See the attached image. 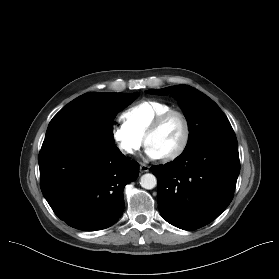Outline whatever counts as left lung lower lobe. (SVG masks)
I'll use <instances>...</instances> for the list:
<instances>
[{
	"label": "left lung lower lobe",
	"instance_id": "obj_1",
	"mask_svg": "<svg viewBox=\"0 0 279 279\" xmlns=\"http://www.w3.org/2000/svg\"><path fill=\"white\" fill-rule=\"evenodd\" d=\"M162 217L183 230H195L230 204L240 161L236 136H215L186 148L172 163L155 165Z\"/></svg>",
	"mask_w": 279,
	"mask_h": 279
}]
</instances>
